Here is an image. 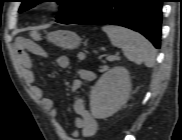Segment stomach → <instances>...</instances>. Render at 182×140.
I'll return each mask as SVG.
<instances>
[{
    "mask_svg": "<svg viewBox=\"0 0 182 140\" xmlns=\"http://www.w3.org/2000/svg\"><path fill=\"white\" fill-rule=\"evenodd\" d=\"M48 40L63 49H75L80 44V37L72 31L58 30L48 34Z\"/></svg>",
    "mask_w": 182,
    "mask_h": 140,
    "instance_id": "stomach-1",
    "label": "stomach"
}]
</instances>
